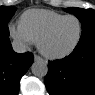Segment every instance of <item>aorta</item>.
<instances>
[{"mask_svg": "<svg viewBox=\"0 0 95 95\" xmlns=\"http://www.w3.org/2000/svg\"><path fill=\"white\" fill-rule=\"evenodd\" d=\"M31 71L36 77H45L48 73V65L43 60H36L31 66Z\"/></svg>", "mask_w": 95, "mask_h": 95, "instance_id": "762f6f07", "label": "aorta"}]
</instances>
